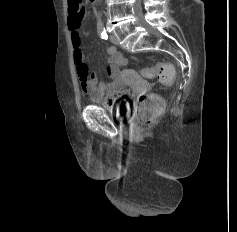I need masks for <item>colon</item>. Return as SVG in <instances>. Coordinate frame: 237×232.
I'll return each instance as SVG.
<instances>
[{"instance_id": "1", "label": "colon", "mask_w": 237, "mask_h": 232, "mask_svg": "<svg viewBox=\"0 0 237 232\" xmlns=\"http://www.w3.org/2000/svg\"><path fill=\"white\" fill-rule=\"evenodd\" d=\"M70 14L77 17L84 16L85 8L82 0H68ZM141 75L151 79L157 77L159 81L165 85H169L174 81L175 69L171 64L156 63L150 68L141 70ZM162 101L154 95L142 96L140 98L138 116L142 123H151L161 112Z\"/></svg>"}]
</instances>
